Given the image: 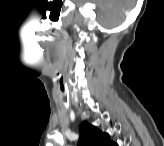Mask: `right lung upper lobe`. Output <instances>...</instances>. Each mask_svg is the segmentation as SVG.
Returning <instances> with one entry per match:
<instances>
[{"instance_id":"cb5924a9","label":"right lung upper lobe","mask_w":164,"mask_h":146,"mask_svg":"<svg viewBox=\"0 0 164 146\" xmlns=\"http://www.w3.org/2000/svg\"><path fill=\"white\" fill-rule=\"evenodd\" d=\"M81 136L79 145L85 146H112L114 143L110 141L109 134L102 133L97 127L83 122L80 126Z\"/></svg>"}]
</instances>
